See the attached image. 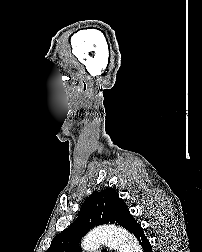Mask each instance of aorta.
Listing matches in <instances>:
<instances>
[{"mask_svg": "<svg viewBox=\"0 0 202 252\" xmlns=\"http://www.w3.org/2000/svg\"><path fill=\"white\" fill-rule=\"evenodd\" d=\"M103 243L119 252H142L133 235L125 229L115 226L103 227L90 232L82 241V248L87 252H92Z\"/></svg>", "mask_w": 202, "mask_h": 252, "instance_id": "obj_1", "label": "aorta"}]
</instances>
